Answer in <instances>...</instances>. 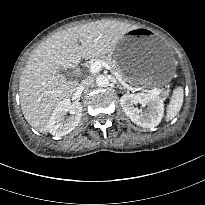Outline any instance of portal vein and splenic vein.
<instances>
[{
	"mask_svg": "<svg viewBox=\"0 0 205 205\" xmlns=\"http://www.w3.org/2000/svg\"><path fill=\"white\" fill-rule=\"evenodd\" d=\"M102 67H105L108 70H111L109 65L106 62H104V61H95L92 64H90V72L91 73H97L101 70ZM151 92L154 93V94H159L160 93V91L158 89H152Z\"/></svg>",
	"mask_w": 205,
	"mask_h": 205,
	"instance_id": "18ae733b",
	"label": "portal vein and splenic vein"
}]
</instances>
